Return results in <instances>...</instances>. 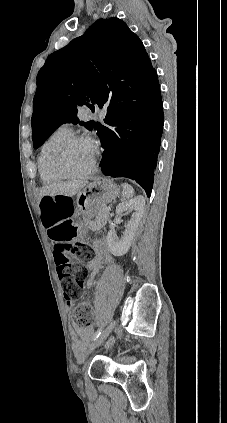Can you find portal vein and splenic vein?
<instances>
[{
  "label": "portal vein and splenic vein",
  "instance_id": "portal-vein-and-splenic-vein-1",
  "mask_svg": "<svg viewBox=\"0 0 227 423\" xmlns=\"http://www.w3.org/2000/svg\"><path fill=\"white\" fill-rule=\"evenodd\" d=\"M105 210H106V211H110V210H111V208H105Z\"/></svg>",
  "mask_w": 227,
  "mask_h": 423
}]
</instances>
